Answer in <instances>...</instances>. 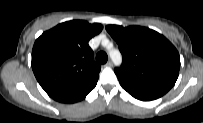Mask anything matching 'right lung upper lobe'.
<instances>
[{
    "instance_id": "right-lung-upper-lobe-1",
    "label": "right lung upper lobe",
    "mask_w": 203,
    "mask_h": 123,
    "mask_svg": "<svg viewBox=\"0 0 203 123\" xmlns=\"http://www.w3.org/2000/svg\"><path fill=\"white\" fill-rule=\"evenodd\" d=\"M103 29L83 20L67 21L44 32L34 43L32 69L50 96L88 88L98 81L100 65L92 61L89 40Z\"/></svg>"
}]
</instances>
